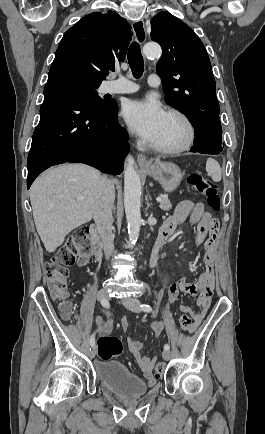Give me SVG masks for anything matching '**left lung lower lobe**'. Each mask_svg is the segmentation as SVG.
Masks as SVG:
<instances>
[{
	"instance_id": "left-lung-lower-lobe-1",
	"label": "left lung lower lobe",
	"mask_w": 265,
	"mask_h": 434,
	"mask_svg": "<svg viewBox=\"0 0 265 434\" xmlns=\"http://www.w3.org/2000/svg\"><path fill=\"white\" fill-rule=\"evenodd\" d=\"M194 145L191 152H199L203 154H219L223 151L222 141L214 138H208L200 135H195Z\"/></svg>"
}]
</instances>
